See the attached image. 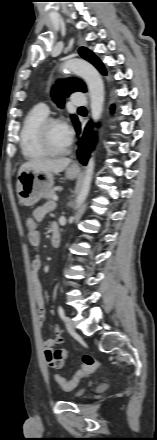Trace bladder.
Here are the masks:
<instances>
[{"mask_svg":"<svg viewBox=\"0 0 157 440\" xmlns=\"http://www.w3.org/2000/svg\"><path fill=\"white\" fill-rule=\"evenodd\" d=\"M86 393H87V389H85V388L77 390L70 395V399L72 401H78V400L82 399L86 395Z\"/></svg>","mask_w":157,"mask_h":440,"instance_id":"bladder-1","label":"bladder"}]
</instances>
